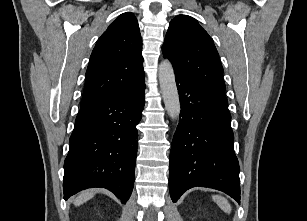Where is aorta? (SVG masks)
<instances>
[{"instance_id":"obj_1","label":"aorta","mask_w":307,"mask_h":221,"mask_svg":"<svg viewBox=\"0 0 307 221\" xmlns=\"http://www.w3.org/2000/svg\"><path fill=\"white\" fill-rule=\"evenodd\" d=\"M158 77L167 113L170 118L177 119L180 114L181 105L176 86L174 70L168 60H163L159 64Z\"/></svg>"}]
</instances>
